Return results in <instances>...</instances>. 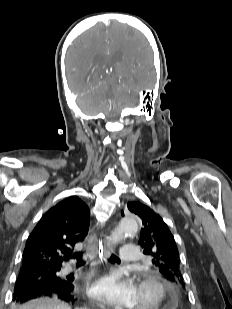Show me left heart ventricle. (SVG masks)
Returning <instances> with one entry per match:
<instances>
[{"mask_svg": "<svg viewBox=\"0 0 232 309\" xmlns=\"http://www.w3.org/2000/svg\"><path fill=\"white\" fill-rule=\"evenodd\" d=\"M151 299V290L148 287L137 289V298L134 309L146 304Z\"/></svg>", "mask_w": 232, "mask_h": 309, "instance_id": "b2bd125f", "label": "left heart ventricle"}]
</instances>
